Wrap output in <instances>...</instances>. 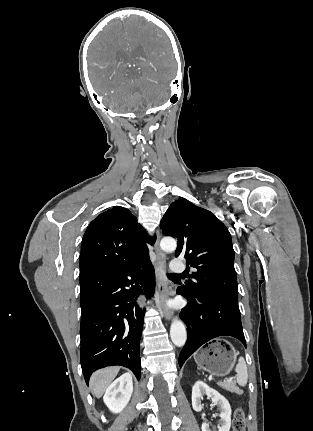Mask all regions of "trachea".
<instances>
[{"mask_svg":"<svg viewBox=\"0 0 313 431\" xmlns=\"http://www.w3.org/2000/svg\"><path fill=\"white\" fill-rule=\"evenodd\" d=\"M169 277L176 276L175 274H168Z\"/></svg>","mask_w":313,"mask_h":431,"instance_id":"1","label":"trachea"}]
</instances>
